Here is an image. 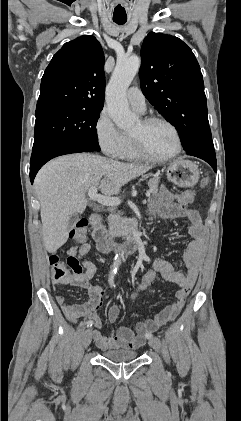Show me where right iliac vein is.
I'll list each match as a JSON object with an SVG mask.
<instances>
[{
    "label": "right iliac vein",
    "instance_id": "63e3f726",
    "mask_svg": "<svg viewBox=\"0 0 241 421\" xmlns=\"http://www.w3.org/2000/svg\"><path fill=\"white\" fill-rule=\"evenodd\" d=\"M92 340V329H86L83 334L82 344L83 347L86 349Z\"/></svg>",
    "mask_w": 241,
    "mask_h": 421
}]
</instances>
